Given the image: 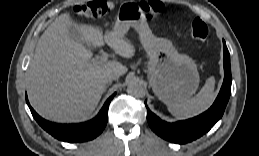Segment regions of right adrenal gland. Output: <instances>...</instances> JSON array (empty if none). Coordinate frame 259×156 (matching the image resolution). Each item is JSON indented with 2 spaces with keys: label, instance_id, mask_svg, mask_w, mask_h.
Listing matches in <instances>:
<instances>
[{
  "label": "right adrenal gland",
  "instance_id": "right-adrenal-gland-1",
  "mask_svg": "<svg viewBox=\"0 0 259 156\" xmlns=\"http://www.w3.org/2000/svg\"><path fill=\"white\" fill-rule=\"evenodd\" d=\"M110 84H111V83H108V84L105 86V89H104V92H103V93L106 92V90H107V88L110 86Z\"/></svg>",
  "mask_w": 259,
  "mask_h": 156
}]
</instances>
